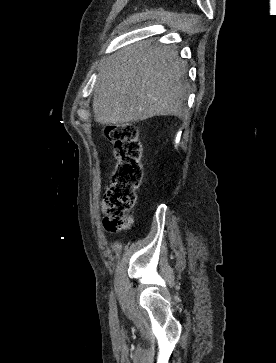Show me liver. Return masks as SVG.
<instances>
[{
    "label": "liver",
    "instance_id": "1",
    "mask_svg": "<svg viewBox=\"0 0 276 363\" xmlns=\"http://www.w3.org/2000/svg\"><path fill=\"white\" fill-rule=\"evenodd\" d=\"M186 63L168 46L139 42L110 56L94 88L95 121L138 122L154 116L183 117L189 84Z\"/></svg>",
    "mask_w": 276,
    "mask_h": 363
}]
</instances>
